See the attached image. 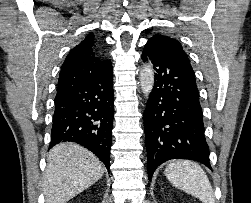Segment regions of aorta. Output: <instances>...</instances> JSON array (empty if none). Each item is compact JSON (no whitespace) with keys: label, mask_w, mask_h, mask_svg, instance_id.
Wrapping results in <instances>:
<instances>
[{"label":"aorta","mask_w":251,"mask_h":203,"mask_svg":"<svg viewBox=\"0 0 251 203\" xmlns=\"http://www.w3.org/2000/svg\"><path fill=\"white\" fill-rule=\"evenodd\" d=\"M139 80L142 93L148 97L154 86V70L151 63L143 64L140 70Z\"/></svg>","instance_id":"762f6f07"}]
</instances>
